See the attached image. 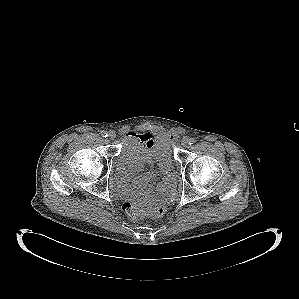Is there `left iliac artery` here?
Wrapping results in <instances>:
<instances>
[{
  "mask_svg": "<svg viewBox=\"0 0 299 299\" xmlns=\"http://www.w3.org/2000/svg\"><path fill=\"white\" fill-rule=\"evenodd\" d=\"M195 138H190V140H189V144L191 145V144H194L195 143Z\"/></svg>",
  "mask_w": 299,
  "mask_h": 299,
  "instance_id": "44dca946",
  "label": "left iliac artery"
}]
</instances>
